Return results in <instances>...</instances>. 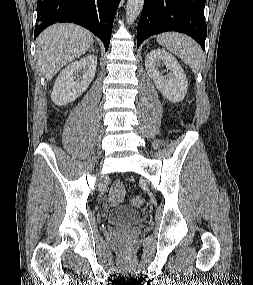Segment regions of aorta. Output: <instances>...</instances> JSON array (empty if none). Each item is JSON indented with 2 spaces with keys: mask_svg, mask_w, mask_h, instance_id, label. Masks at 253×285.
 Returning <instances> with one entry per match:
<instances>
[{
  "mask_svg": "<svg viewBox=\"0 0 253 285\" xmlns=\"http://www.w3.org/2000/svg\"><path fill=\"white\" fill-rule=\"evenodd\" d=\"M144 6V0H127L126 6V21L133 23L140 15Z\"/></svg>",
  "mask_w": 253,
  "mask_h": 285,
  "instance_id": "762f6f07",
  "label": "aorta"
}]
</instances>
